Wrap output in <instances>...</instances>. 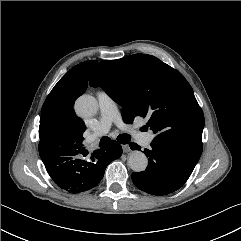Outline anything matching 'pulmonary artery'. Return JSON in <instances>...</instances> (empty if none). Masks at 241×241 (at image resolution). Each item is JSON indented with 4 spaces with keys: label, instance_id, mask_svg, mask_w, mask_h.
Wrapping results in <instances>:
<instances>
[{
    "label": "pulmonary artery",
    "instance_id": "obj_1",
    "mask_svg": "<svg viewBox=\"0 0 241 241\" xmlns=\"http://www.w3.org/2000/svg\"><path fill=\"white\" fill-rule=\"evenodd\" d=\"M97 100L100 110L99 120L90 135L89 142H93L96 138L105 135L113 122H116L120 127L126 128L137 141L149 146L153 141V134L151 132H140L135 127H126L119 115L117 105L112 97L105 91L97 92Z\"/></svg>",
    "mask_w": 241,
    "mask_h": 241
}]
</instances>
